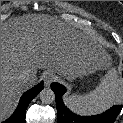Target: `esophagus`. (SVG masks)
<instances>
[{
	"label": "esophagus",
	"instance_id": "34e87169",
	"mask_svg": "<svg viewBox=\"0 0 123 123\" xmlns=\"http://www.w3.org/2000/svg\"><path fill=\"white\" fill-rule=\"evenodd\" d=\"M46 86H49L52 82L55 81V75L51 72H46L43 76Z\"/></svg>",
	"mask_w": 123,
	"mask_h": 123
}]
</instances>
